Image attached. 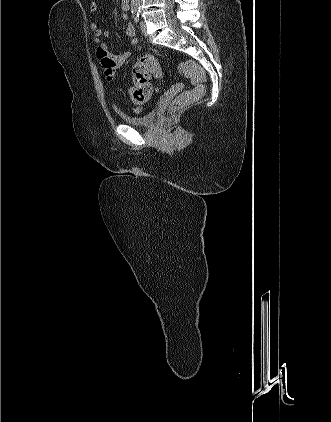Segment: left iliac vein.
Returning a JSON list of instances; mask_svg holds the SVG:
<instances>
[{"label":"left iliac vein","instance_id":"4c4485c4","mask_svg":"<svg viewBox=\"0 0 331 422\" xmlns=\"http://www.w3.org/2000/svg\"><path fill=\"white\" fill-rule=\"evenodd\" d=\"M140 29H141L142 34L146 36L147 30H146V24H145L144 21H141V23H140Z\"/></svg>","mask_w":331,"mask_h":422}]
</instances>
